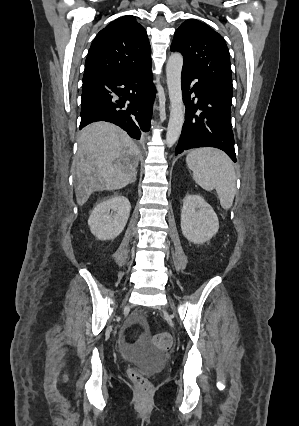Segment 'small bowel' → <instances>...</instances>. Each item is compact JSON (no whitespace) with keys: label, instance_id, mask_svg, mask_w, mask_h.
<instances>
[{"label":"small bowel","instance_id":"1","mask_svg":"<svg viewBox=\"0 0 299 426\" xmlns=\"http://www.w3.org/2000/svg\"><path fill=\"white\" fill-rule=\"evenodd\" d=\"M141 317L136 315L133 318L134 322L140 321ZM123 349L125 351V353L129 356V357H133L136 354V345L133 343H128V342H123L122 344Z\"/></svg>","mask_w":299,"mask_h":426}]
</instances>
